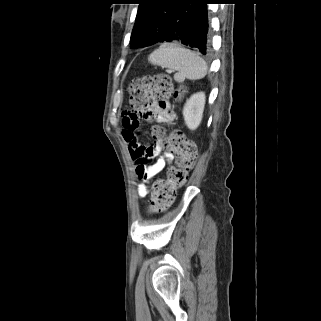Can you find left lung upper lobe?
I'll return each instance as SVG.
<instances>
[{
	"label": "left lung upper lobe",
	"mask_w": 321,
	"mask_h": 321,
	"mask_svg": "<svg viewBox=\"0 0 321 321\" xmlns=\"http://www.w3.org/2000/svg\"><path fill=\"white\" fill-rule=\"evenodd\" d=\"M177 1L138 0L139 8L131 34V46H150L161 42L166 24Z\"/></svg>",
	"instance_id": "1"
}]
</instances>
